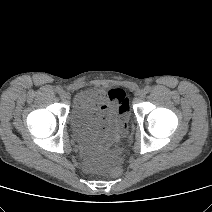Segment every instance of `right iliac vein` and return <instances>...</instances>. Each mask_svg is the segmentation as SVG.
Listing matches in <instances>:
<instances>
[{"instance_id": "63e3f726", "label": "right iliac vein", "mask_w": 212, "mask_h": 212, "mask_svg": "<svg viewBox=\"0 0 212 212\" xmlns=\"http://www.w3.org/2000/svg\"><path fill=\"white\" fill-rule=\"evenodd\" d=\"M59 94H60L61 99H63V100H66L68 97L67 93L64 90H61Z\"/></svg>"}]
</instances>
